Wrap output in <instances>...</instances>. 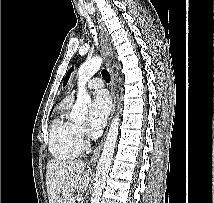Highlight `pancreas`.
<instances>
[{
  "label": "pancreas",
  "mask_w": 214,
  "mask_h": 203,
  "mask_svg": "<svg viewBox=\"0 0 214 203\" xmlns=\"http://www.w3.org/2000/svg\"><path fill=\"white\" fill-rule=\"evenodd\" d=\"M73 199L68 200L66 203H73Z\"/></svg>",
  "instance_id": "obj_1"
}]
</instances>
